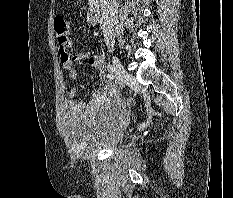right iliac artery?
Returning <instances> with one entry per match:
<instances>
[{"mask_svg":"<svg viewBox=\"0 0 233 198\" xmlns=\"http://www.w3.org/2000/svg\"><path fill=\"white\" fill-rule=\"evenodd\" d=\"M107 78L109 80H113L115 78V76L113 75V69H112V67H110V73L107 75Z\"/></svg>","mask_w":233,"mask_h":198,"instance_id":"obj_1","label":"right iliac artery"}]
</instances>
